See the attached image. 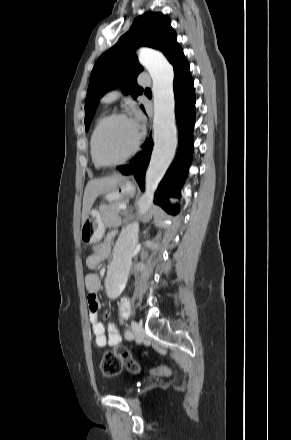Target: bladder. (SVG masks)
Wrapping results in <instances>:
<instances>
[{
  "label": "bladder",
  "mask_w": 291,
  "mask_h": 440,
  "mask_svg": "<svg viewBox=\"0 0 291 440\" xmlns=\"http://www.w3.org/2000/svg\"><path fill=\"white\" fill-rule=\"evenodd\" d=\"M132 391V389L128 388L126 390L123 391L124 394L130 393Z\"/></svg>",
  "instance_id": "31cf9c89"
}]
</instances>
